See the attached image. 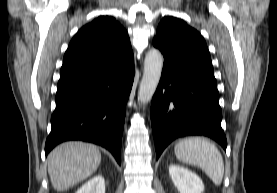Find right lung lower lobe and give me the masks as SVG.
Masks as SVG:
<instances>
[{
	"mask_svg": "<svg viewBox=\"0 0 277 193\" xmlns=\"http://www.w3.org/2000/svg\"><path fill=\"white\" fill-rule=\"evenodd\" d=\"M134 80V57L95 73L59 80L47 155L68 140L108 149L120 163L126 103Z\"/></svg>",
	"mask_w": 277,
	"mask_h": 193,
	"instance_id": "1",
	"label": "right lung lower lobe"
}]
</instances>
